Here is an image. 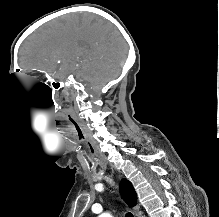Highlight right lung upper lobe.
<instances>
[{"instance_id":"1","label":"right lung upper lobe","mask_w":219,"mask_h":217,"mask_svg":"<svg viewBox=\"0 0 219 217\" xmlns=\"http://www.w3.org/2000/svg\"><path fill=\"white\" fill-rule=\"evenodd\" d=\"M120 192L129 207H133L136 205L137 195L131 182L126 179H122L120 183Z\"/></svg>"}]
</instances>
